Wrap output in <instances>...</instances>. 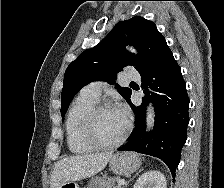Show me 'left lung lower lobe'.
<instances>
[{"label":"left lung lower lobe","mask_w":224,"mask_h":188,"mask_svg":"<svg viewBox=\"0 0 224 188\" xmlns=\"http://www.w3.org/2000/svg\"><path fill=\"white\" fill-rule=\"evenodd\" d=\"M141 79L146 96L140 106L128 102L136 114L135 129L128 142L118 150L158 157L175 176L189 123V98L181 68L172 54L151 72L142 75ZM150 100L155 106V124L152 132L145 133V110Z\"/></svg>","instance_id":"left-lung-lower-lobe-1"}]
</instances>
